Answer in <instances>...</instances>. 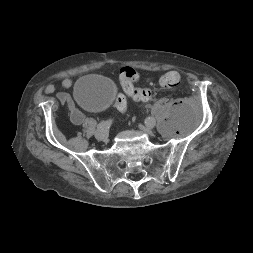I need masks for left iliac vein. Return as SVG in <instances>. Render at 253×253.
Here are the masks:
<instances>
[{"instance_id": "4c4485c4", "label": "left iliac vein", "mask_w": 253, "mask_h": 253, "mask_svg": "<svg viewBox=\"0 0 253 253\" xmlns=\"http://www.w3.org/2000/svg\"><path fill=\"white\" fill-rule=\"evenodd\" d=\"M139 128L142 129L145 133L152 135V126L139 125Z\"/></svg>"}]
</instances>
